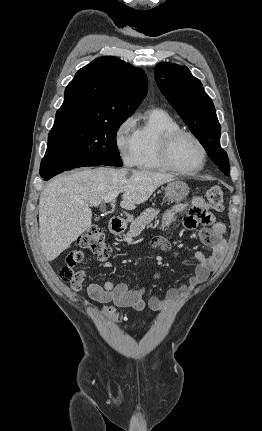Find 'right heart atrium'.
I'll return each mask as SVG.
<instances>
[{
	"label": "right heart atrium",
	"instance_id": "d8ad5b80",
	"mask_svg": "<svg viewBox=\"0 0 262 431\" xmlns=\"http://www.w3.org/2000/svg\"><path fill=\"white\" fill-rule=\"evenodd\" d=\"M114 143L124 163L134 165L136 163L137 141L133 117H128L119 124L115 131Z\"/></svg>",
	"mask_w": 262,
	"mask_h": 431
}]
</instances>
